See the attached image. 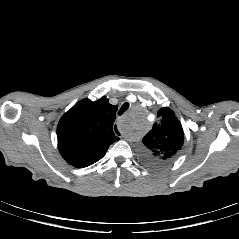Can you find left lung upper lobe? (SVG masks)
<instances>
[{"label": "left lung upper lobe", "instance_id": "left-lung-upper-lobe-1", "mask_svg": "<svg viewBox=\"0 0 239 239\" xmlns=\"http://www.w3.org/2000/svg\"><path fill=\"white\" fill-rule=\"evenodd\" d=\"M158 120L142 142V156L150 165H162L172 161L181 150L184 133L174 112L165 107L158 111Z\"/></svg>", "mask_w": 239, "mask_h": 239}]
</instances>
